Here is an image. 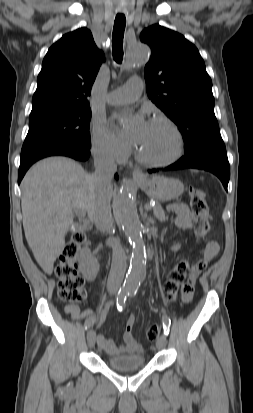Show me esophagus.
Returning a JSON list of instances; mask_svg holds the SVG:
<instances>
[{"label": "esophagus", "mask_w": 253, "mask_h": 413, "mask_svg": "<svg viewBox=\"0 0 253 413\" xmlns=\"http://www.w3.org/2000/svg\"><path fill=\"white\" fill-rule=\"evenodd\" d=\"M133 177L138 178V179H143L145 176L140 168H135L133 170Z\"/></svg>", "instance_id": "obj_1"}]
</instances>
